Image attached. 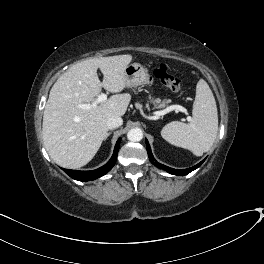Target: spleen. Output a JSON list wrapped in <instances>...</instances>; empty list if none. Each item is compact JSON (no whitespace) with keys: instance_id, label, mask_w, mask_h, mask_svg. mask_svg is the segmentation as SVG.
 <instances>
[{"instance_id":"1","label":"spleen","mask_w":264,"mask_h":264,"mask_svg":"<svg viewBox=\"0 0 264 264\" xmlns=\"http://www.w3.org/2000/svg\"><path fill=\"white\" fill-rule=\"evenodd\" d=\"M218 131V113L213 93L203 79L196 86L190 123L172 121L165 125L161 136L170 144L202 156L211 149Z\"/></svg>"}]
</instances>
